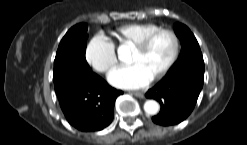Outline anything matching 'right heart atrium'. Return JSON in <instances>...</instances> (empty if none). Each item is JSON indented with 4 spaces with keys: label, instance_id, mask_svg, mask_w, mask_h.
<instances>
[{
    "label": "right heart atrium",
    "instance_id": "right-heart-atrium-1",
    "mask_svg": "<svg viewBox=\"0 0 247 145\" xmlns=\"http://www.w3.org/2000/svg\"><path fill=\"white\" fill-rule=\"evenodd\" d=\"M85 57L98 72L109 73L118 63L114 44L103 34H97L88 42Z\"/></svg>",
    "mask_w": 247,
    "mask_h": 145
}]
</instances>
